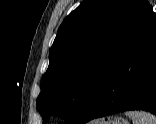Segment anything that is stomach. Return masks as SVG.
<instances>
[{
    "mask_svg": "<svg viewBox=\"0 0 156 124\" xmlns=\"http://www.w3.org/2000/svg\"><path fill=\"white\" fill-rule=\"evenodd\" d=\"M107 124H129L128 121L122 120L120 118H115L114 120H109Z\"/></svg>",
    "mask_w": 156,
    "mask_h": 124,
    "instance_id": "1",
    "label": "stomach"
}]
</instances>
